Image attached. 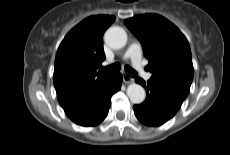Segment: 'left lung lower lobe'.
<instances>
[{"label": "left lung lower lobe", "mask_w": 230, "mask_h": 155, "mask_svg": "<svg viewBox=\"0 0 230 155\" xmlns=\"http://www.w3.org/2000/svg\"><path fill=\"white\" fill-rule=\"evenodd\" d=\"M135 81L146 89V100L134 105V113L140 122L148 126H159L171 119L180 109L184 99L149 80Z\"/></svg>", "instance_id": "left-lung-lower-lobe-1"}]
</instances>
